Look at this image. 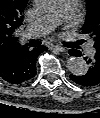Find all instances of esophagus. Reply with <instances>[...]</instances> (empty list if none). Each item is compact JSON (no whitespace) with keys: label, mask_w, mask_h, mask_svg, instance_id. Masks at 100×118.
I'll return each instance as SVG.
<instances>
[{"label":"esophagus","mask_w":100,"mask_h":118,"mask_svg":"<svg viewBox=\"0 0 100 118\" xmlns=\"http://www.w3.org/2000/svg\"><path fill=\"white\" fill-rule=\"evenodd\" d=\"M51 48L54 49V50H57L59 52H64L65 51L64 47L58 46V45H51Z\"/></svg>","instance_id":"34e87169"}]
</instances>
